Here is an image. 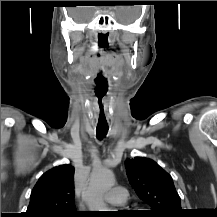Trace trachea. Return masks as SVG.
<instances>
[{"instance_id": "trachea-1", "label": "trachea", "mask_w": 217, "mask_h": 217, "mask_svg": "<svg viewBox=\"0 0 217 217\" xmlns=\"http://www.w3.org/2000/svg\"><path fill=\"white\" fill-rule=\"evenodd\" d=\"M96 132H97V139L101 140V139H103V137L106 136V134L108 132V127H99V126H97Z\"/></svg>"}]
</instances>
